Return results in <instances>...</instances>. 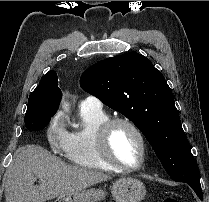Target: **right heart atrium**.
I'll list each match as a JSON object with an SVG mask.
<instances>
[{
	"instance_id": "d8ad5b80",
	"label": "right heart atrium",
	"mask_w": 209,
	"mask_h": 202,
	"mask_svg": "<svg viewBox=\"0 0 209 202\" xmlns=\"http://www.w3.org/2000/svg\"><path fill=\"white\" fill-rule=\"evenodd\" d=\"M45 137L55 152H63L67 146L69 133L62 118L55 114L45 126Z\"/></svg>"
}]
</instances>
